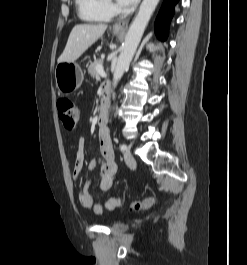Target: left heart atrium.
<instances>
[{"label": "left heart atrium", "mask_w": 247, "mask_h": 265, "mask_svg": "<svg viewBox=\"0 0 247 265\" xmlns=\"http://www.w3.org/2000/svg\"><path fill=\"white\" fill-rule=\"evenodd\" d=\"M137 0H117L120 7L128 8L136 3Z\"/></svg>", "instance_id": "obj_1"}]
</instances>
